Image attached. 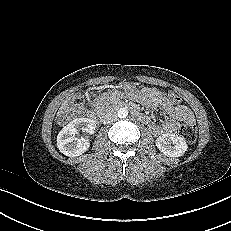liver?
Returning a JSON list of instances; mask_svg holds the SVG:
<instances>
[{"label": "liver", "instance_id": "obj_1", "mask_svg": "<svg viewBox=\"0 0 231 231\" xmlns=\"http://www.w3.org/2000/svg\"><path fill=\"white\" fill-rule=\"evenodd\" d=\"M70 100V98L66 99L64 103L60 106L57 116H60V114L67 108V103Z\"/></svg>", "mask_w": 231, "mask_h": 231}]
</instances>
